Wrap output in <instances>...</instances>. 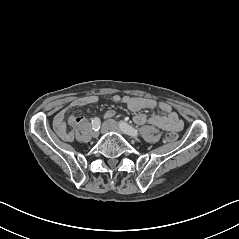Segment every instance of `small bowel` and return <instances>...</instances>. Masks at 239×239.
<instances>
[{"label":"small bowel","instance_id":"small-bowel-1","mask_svg":"<svg viewBox=\"0 0 239 239\" xmlns=\"http://www.w3.org/2000/svg\"><path fill=\"white\" fill-rule=\"evenodd\" d=\"M114 102L122 101L128 108L134 112L133 120L138 125L151 124L166 131L178 132L183 128V121L178 114L165 102H157L154 99L146 97H131L114 95L112 97ZM98 101L95 95H89L74 100L68 107L62 109L54 119V128L57 134L65 141H72L74 139V130L67 127V121L72 127H76L85 121L84 117L74 116L70 114V110L76 107H82L88 104H93ZM158 108L160 114L147 116L141 112L144 109ZM115 111L109 110L106 117H112Z\"/></svg>","mask_w":239,"mask_h":239}]
</instances>
